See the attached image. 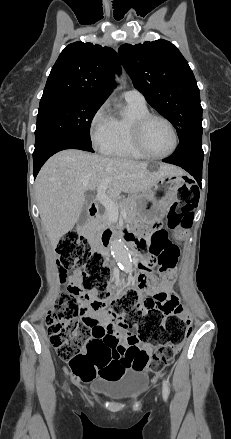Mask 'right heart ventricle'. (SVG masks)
<instances>
[{
    "instance_id": "obj_1",
    "label": "right heart ventricle",
    "mask_w": 231,
    "mask_h": 439,
    "mask_svg": "<svg viewBox=\"0 0 231 439\" xmlns=\"http://www.w3.org/2000/svg\"><path fill=\"white\" fill-rule=\"evenodd\" d=\"M147 113L149 109L146 103L126 100V113L112 117L111 138L101 151L121 158L145 159L134 145L132 131L134 122Z\"/></svg>"
}]
</instances>
